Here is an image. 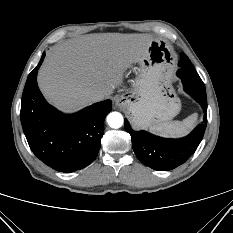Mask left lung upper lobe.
Instances as JSON below:
<instances>
[{
	"instance_id": "left-lung-upper-lobe-1",
	"label": "left lung upper lobe",
	"mask_w": 233,
	"mask_h": 233,
	"mask_svg": "<svg viewBox=\"0 0 233 233\" xmlns=\"http://www.w3.org/2000/svg\"><path fill=\"white\" fill-rule=\"evenodd\" d=\"M192 71L194 72V74L196 75L194 83L199 84V85H204V83L202 82V80L200 79L199 75L197 74L196 70L194 69V67L192 66V64L190 63Z\"/></svg>"
}]
</instances>
